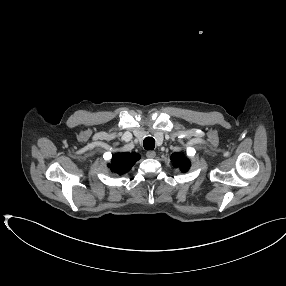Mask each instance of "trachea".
Returning <instances> with one entry per match:
<instances>
[{"label": "trachea", "instance_id": "obj_1", "mask_svg": "<svg viewBox=\"0 0 286 286\" xmlns=\"http://www.w3.org/2000/svg\"><path fill=\"white\" fill-rule=\"evenodd\" d=\"M143 146L146 150H153L155 147V140L152 137H146L143 141Z\"/></svg>", "mask_w": 286, "mask_h": 286}]
</instances>
